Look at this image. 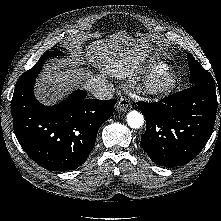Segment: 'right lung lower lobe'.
Wrapping results in <instances>:
<instances>
[{
    "label": "right lung lower lobe",
    "mask_w": 221,
    "mask_h": 221,
    "mask_svg": "<svg viewBox=\"0 0 221 221\" xmlns=\"http://www.w3.org/2000/svg\"><path fill=\"white\" fill-rule=\"evenodd\" d=\"M41 68L35 64L16 83L11 101L14 132L24 151L43 168L72 170L88 158L116 99H87L86 92L78 90L60 104L44 106L33 94Z\"/></svg>",
    "instance_id": "obj_1"
}]
</instances>
